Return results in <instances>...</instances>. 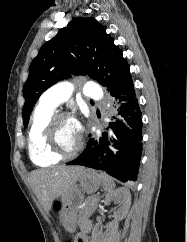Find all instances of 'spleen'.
<instances>
[{
	"instance_id": "spleen-1",
	"label": "spleen",
	"mask_w": 187,
	"mask_h": 242,
	"mask_svg": "<svg viewBox=\"0 0 187 242\" xmlns=\"http://www.w3.org/2000/svg\"><path fill=\"white\" fill-rule=\"evenodd\" d=\"M100 176L102 178L104 191L107 192L108 194H110L116 187L114 180L112 179V177H110L106 173H100Z\"/></svg>"
}]
</instances>
